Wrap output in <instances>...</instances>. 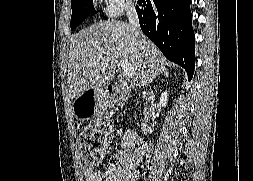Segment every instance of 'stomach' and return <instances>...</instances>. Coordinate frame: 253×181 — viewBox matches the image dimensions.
I'll use <instances>...</instances> for the list:
<instances>
[{
	"mask_svg": "<svg viewBox=\"0 0 253 181\" xmlns=\"http://www.w3.org/2000/svg\"><path fill=\"white\" fill-rule=\"evenodd\" d=\"M110 103L109 95L100 88L87 90L73 103V112L77 119L87 120L105 113Z\"/></svg>",
	"mask_w": 253,
	"mask_h": 181,
	"instance_id": "obj_1",
	"label": "stomach"
}]
</instances>
